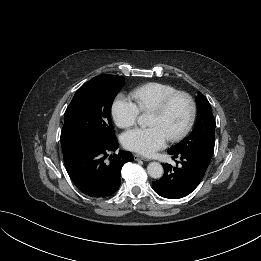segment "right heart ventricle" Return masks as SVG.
<instances>
[{
    "instance_id": "1",
    "label": "right heart ventricle",
    "mask_w": 261,
    "mask_h": 261,
    "mask_svg": "<svg viewBox=\"0 0 261 261\" xmlns=\"http://www.w3.org/2000/svg\"><path fill=\"white\" fill-rule=\"evenodd\" d=\"M178 92L168 84L151 82L144 84L133 91V96L141 111H152L159 106L167 97Z\"/></svg>"
}]
</instances>
